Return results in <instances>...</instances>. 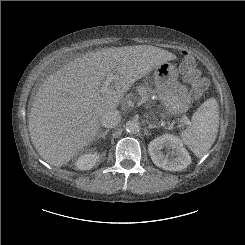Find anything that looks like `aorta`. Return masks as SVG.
Here are the masks:
<instances>
[{
  "label": "aorta",
  "mask_w": 245,
  "mask_h": 245,
  "mask_svg": "<svg viewBox=\"0 0 245 245\" xmlns=\"http://www.w3.org/2000/svg\"><path fill=\"white\" fill-rule=\"evenodd\" d=\"M125 129L130 134H136L140 130V125L137 121L129 120L125 125Z\"/></svg>",
  "instance_id": "762f6f07"
}]
</instances>
